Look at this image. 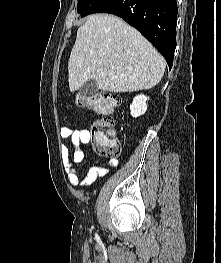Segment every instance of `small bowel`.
Masks as SVG:
<instances>
[{"label": "small bowel", "mask_w": 221, "mask_h": 263, "mask_svg": "<svg viewBox=\"0 0 221 263\" xmlns=\"http://www.w3.org/2000/svg\"><path fill=\"white\" fill-rule=\"evenodd\" d=\"M60 136L68 140V145L62 146L61 153L66 163V172L71 185L88 187L97 178L107 175L108 169L105 166H92L85 174L74 167L76 164H79L84 160L85 154L80 149V145H86L90 142V132L88 130L63 127L60 129ZM71 147L73 148L72 159H70ZM108 166L117 167L118 160H109ZM82 177L83 179L81 181Z\"/></svg>", "instance_id": "obj_1"}]
</instances>
